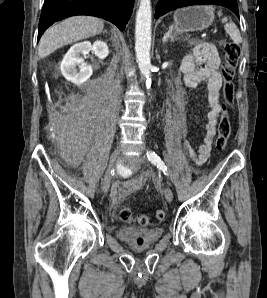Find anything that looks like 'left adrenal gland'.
Masks as SVG:
<instances>
[{"instance_id":"1","label":"left adrenal gland","mask_w":267,"mask_h":298,"mask_svg":"<svg viewBox=\"0 0 267 298\" xmlns=\"http://www.w3.org/2000/svg\"><path fill=\"white\" fill-rule=\"evenodd\" d=\"M175 39H180V38L177 37L175 34H172V31H171V30H168V31L165 33V35H164L162 41H163V43L165 44L168 40H170L171 42H173ZM189 42H190L191 44H195L194 41L189 40ZM165 53H167V51H165Z\"/></svg>"}]
</instances>
